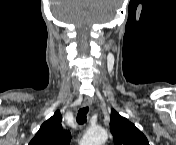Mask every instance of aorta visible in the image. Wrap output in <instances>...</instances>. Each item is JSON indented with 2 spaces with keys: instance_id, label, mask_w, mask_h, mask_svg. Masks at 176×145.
<instances>
[{
  "instance_id": "1",
  "label": "aorta",
  "mask_w": 176,
  "mask_h": 145,
  "mask_svg": "<svg viewBox=\"0 0 176 145\" xmlns=\"http://www.w3.org/2000/svg\"><path fill=\"white\" fill-rule=\"evenodd\" d=\"M108 139V134L106 130L100 126L90 128L84 138L82 143L84 145H103Z\"/></svg>"
}]
</instances>
